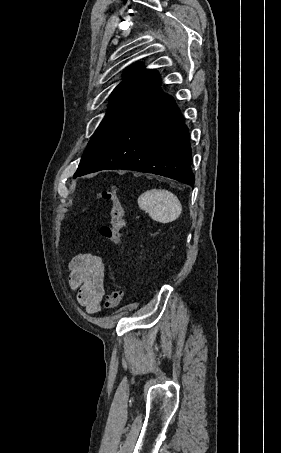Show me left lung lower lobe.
<instances>
[{
  "instance_id": "obj_1",
  "label": "left lung lower lobe",
  "mask_w": 281,
  "mask_h": 453,
  "mask_svg": "<svg viewBox=\"0 0 281 453\" xmlns=\"http://www.w3.org/2000/svg\"><path fill=\"white\" fill-rule=\"evenodd\" d=\"M105 169L163 175L194 185L188 130L174 99L156 79L97 155L74 178Z\"/></svg>"
}]
</instances>
